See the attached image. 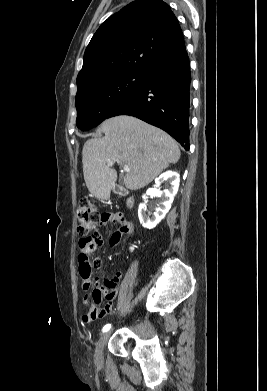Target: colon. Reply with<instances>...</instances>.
<instances>
[{
  "label": "colon",
  "instance_id": "obj_1",
  "mask_svg": "<svg viewBox=\"0 0 267 391\" xmlns=\"http://www.w3.org/2000/svg\"><path fill=\"white\" fill-rule=\"evenodd\" d=\"M76 217L80 253H90L101 244L96 227L101 223L102 216L94 203L83 199L78 205ZM123 220L124 218L120 217V221Z\"/></svg>",
  "mask_w": 267,
  "mask_h": 391
}]
</instances>
